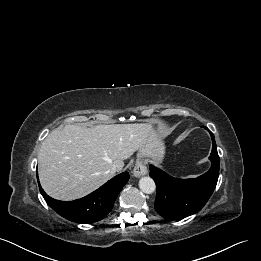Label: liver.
<instances>
[{
	"mask_svg": "<svg viewBox=\"0 0 261 261\" xmlns=\"http://www.w3.org/2000/svg\"><path fill=\"white\" fill-rule=\"evenodd\" d=\"M150 124H68L54 129L38 154V173L44 191L58 200H75L112 178L113 166L140 150L152 134Z\"/></svg>",
	"mask_w": 261,
	"mask_h": 261,
	"instance_id": "obj_1",
	"label": "liver"
}]
</instances>
